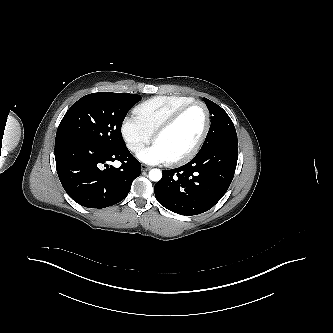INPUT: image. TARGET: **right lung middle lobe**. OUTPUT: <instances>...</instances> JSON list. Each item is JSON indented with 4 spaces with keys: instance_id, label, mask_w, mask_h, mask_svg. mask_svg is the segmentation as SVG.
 <instances>
[{
    "instance_id": "right-lung-middle-lobe-1",
    "label": "right lung middle lobe",
    "mask_w": 333,
    "mask_h": 333,
    "mask_svg": "<svg viewBox=\"0 0 333 333\" xmlns=\"http://www.w3.org/2000/svg\"><path fill=\"white\" fill-rule=\"evenodd\" d=\"M140 100V95L130 93L88 94L67 111L55 140L71 139L105 149L124 147L122 122L129 109Z\"/></svg>"
}]
</instances>
